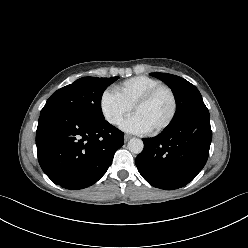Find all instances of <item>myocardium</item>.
I'll return each mask as SVG.
<instances>
[{
    "mask_svg": "<svg viewBox=\"0 0 248 248\" xmlns=\"http://www.w3.org/2000/svg\"><path fill=\"white\" fill-rule=\"evenodd\" d=\"M161 91H166L170 95L171 101H172V109H171V112H170V115L168 116V118L161 125H159L155 129L149 131L150 134H152V135L158 134V133L162 132L163 130H165L167 127H169L176 116L177 109H178V102H177L176 94L173 91V89L167 85H159V86L151 89L150 91H148L143 96H141L132 106V110H133V112H135V110L138 107L150 102Z\"/></svg>",
    "mask_w": 248,
    "mask_h": 248,
    "instance_id": "f54148a6",
    "label": "myocardium"
}]
</instances>
